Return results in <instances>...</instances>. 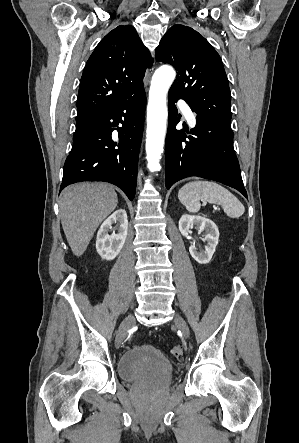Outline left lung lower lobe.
I'll use <instances>...</instances> for the list:
<instances>
[{"label": "left lung lower lobe", "mask_w": 299, "mask_h": 443, "mask_svg": "<svg viewBox=\"0 0 299 443\" xmlns=\"http://www.w3.org/2000/svg\"><path fill=\"white\" fill-rule=\"evenodd\" d=\"M169 118L166 137L165 184L169 189L176 181L198 176L218 181L237 189L245 197L240 166L233 148V131L230 126L208 116L196 113V126L187 136L184 130H176L175 102L180 98L169 93ZM193 111V110H192Z\"/></svg>", "instance_id": "0a47b994"}]
</instances>
